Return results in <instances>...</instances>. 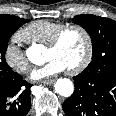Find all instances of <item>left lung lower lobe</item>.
<instances>
[{
  "label": "left lung lower lobe",
  "instance_id": "left-lung-lower-lobe-1",
  "mask_svg": "<svg viewBox=\"0 0 116 116\" xmlns=\"http://www.w3.org/2000/svg\"><path fill=\"white\" fill-rule=\"evenodd\" d=\"M75 90L63 103L66 116H116V72L74 77Z\"/></svg>",
  "mask_w": 116,
  "mask_h": 116
}]
</instances>
